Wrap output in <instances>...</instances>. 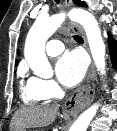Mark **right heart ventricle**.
<instances>
[{
  "label": "right heart ventricle",
  "mask_w": 117,
  "mask_h": 131,
  "mask_svg": "<svg viewBox=\"0 0 117 131\" xmlns=\"http://www.w3.org/2000/svg\"><path fill=\"white\" fill-rule=\"evenodd\" d=\"M20 90L21 97L26 104H42L49 99L41 90L38 79L36 77L23 79Z\"/></svg>",
  "instance_id": "obj_1"
}]
</instances>
